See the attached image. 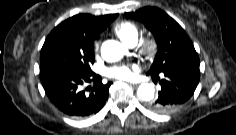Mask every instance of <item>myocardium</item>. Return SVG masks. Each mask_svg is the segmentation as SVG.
Masks as SVG:
<instances>
[{
    "label": "myocardium",
    "instance_id": "1",
    "mask_svg": "<svg viewBox=\"0 0 236 135\" xmlns=\"http://www.w3.org/2000/svg\"><path fill=\"white\" fill-rule=\"evenodd\" d=\"M158 48L157 41L153 37L146 38L140 45V52L147 58L154 56Z\"/></svg>",
    "mask_w": 236,
    "mask_h": 135
}]
</instances>
